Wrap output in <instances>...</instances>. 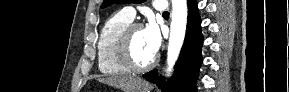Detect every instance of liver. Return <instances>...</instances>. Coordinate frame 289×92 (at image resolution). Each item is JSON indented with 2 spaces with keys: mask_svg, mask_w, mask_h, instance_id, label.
<instances>
[{
  "mask_svg": "<svg viewBox=\"0 0 289 92\" xmlns=\"http://www.w3.org/2000/svg\"><path fill=\"white\" fill-rule=\"evenodd\" d=\"M99 82L121 89L123 92L150 91L151 86L143 79L136 77L99 78Z\"/></svg>",
  "mask_w": 289,
  "mask_h": 92,
  "instance_id": "obj_1",
  "label": "liver"
}]
</instances>
